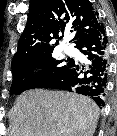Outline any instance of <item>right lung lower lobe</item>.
Returning <instances> with one entry per match:
<instances>
[{"mask_svg": "<svg viewBox=\"0 0 117 136\" xmlns=\"http://www.w3.org/2000/svg\"><path fill=\"white\" fill-rule=\"evenodd\" d=\"M103 24L84 35L76 47L87 55L88 63L81 65L70 59L57 74L42 83L39 88L62 89L91 97L100 108L108 82V46Z\"/></svg>", "mask_w": 117, "mask_h": 136, "instance_id": "obj_1", "label": "right lung lower lobe"}]
</instances>
